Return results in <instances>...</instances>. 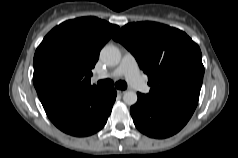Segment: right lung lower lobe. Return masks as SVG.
<instances>
[{"mask_svg":"<svg viewBox=\"0 0 238 158\" xmlns=\"http://www.w3.org/2000/svg\"><path fill=\"white\" fill-rule=\"evenodd\" d=\"M38 96L56 127L81 137L96 133L106 124L116 99V90H44Z\"/></svg>","mask_w":238,"mask_h":158,"instance_id":"98d812e1","label":"right lung lower lobe"}]
</instances>
